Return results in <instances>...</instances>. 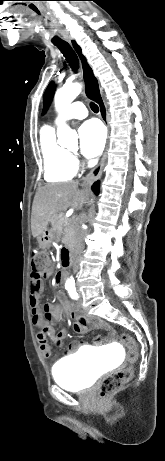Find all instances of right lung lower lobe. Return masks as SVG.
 I'll use <instances>...</instances> for the list:
<instances>
[{
	"label": "right lung lower lobe",
	"mask_w": 165,
	"mask_h": 461,
	"mask_svg": "<svg viewBox=\"0 0 165 461\" xmlns=\"http://www.w3.org/2000/svg\"><path fill=\"white\" fill-rule=\"evenodd\" d=\"M92 191H93L95 194H98V191H99V181L95 182V183L92 185Z\"/></svg>",
	"instance_id": "1"
}]
</instances>
